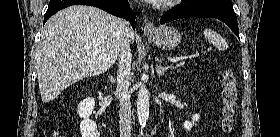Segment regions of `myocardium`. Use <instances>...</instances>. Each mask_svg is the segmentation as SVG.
I'll list each match as a JSON object with an SVG mask.
<instances>
[{"instance_id":"obj_1","label":"myocardium","mask_w":280,"mask_h":137,"mask_svg":"<svg viewBox=\"0 0 280 137\" xmlns=\"http://www.w3.org/2000/svg\"><path fill=\"white\" fill-rule=\"evenodd\" d=\"M178 0H172L171 2L173 3V2H177ZM170 27H172V26H170Z\"/></svg>"}]
</instances>
